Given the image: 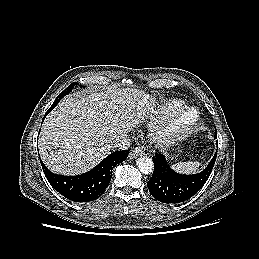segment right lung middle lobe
I'll use <instances>...</instances> for the list:
<instances>
[{"label": "right lung middle lobe", "instance_id": "obj_1", "mask_svg": "<svg viewBox=\"0 0 259 259\" xmlns=\"http://www.w3.org/2000/svg\"><path fill=\"white\" fill-rule=\"evenodd\" d=\"M78 83L74 82L71 85H69L54 101V103L52 104V106L49 108V110H52L53 108H55L57 102H59V100H61V98H63L64 96H66L67 94H69L72 89L77 86Z\"/></svg>", "mask_w": 259, "mask_h": 259}]
</instances>
